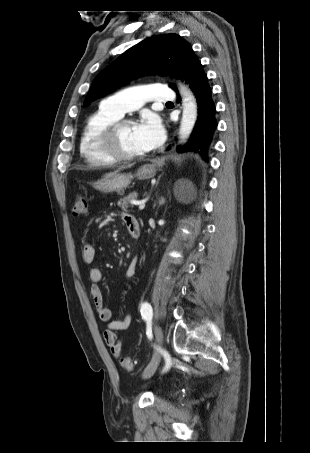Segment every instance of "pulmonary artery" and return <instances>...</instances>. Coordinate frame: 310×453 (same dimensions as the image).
Instances as JSON below:
<instances>
[{"mask_svg": "<svg viewBox=\"0 0 310 453\" xmlns=\"http://www.w3.org/2000/svg\"><path fill=\"white\" fill-rule=\"evenodd\" d=\"M174 91L164 84H152L132 87L119 91L102 102V105L123 116L127 112L139 109L147 101H171Z\"/></svg>", "mask_w": 310, "mask_h": 453, "instance_id": "obj_1", "label": "pulmonary artery"}]
</instances>
